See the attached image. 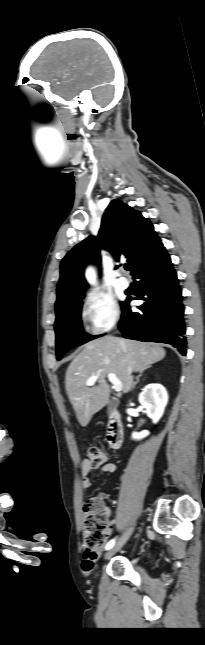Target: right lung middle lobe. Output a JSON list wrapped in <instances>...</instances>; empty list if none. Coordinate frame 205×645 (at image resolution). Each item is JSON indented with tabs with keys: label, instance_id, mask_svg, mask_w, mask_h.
<instances>
[{
	"label": "right lung middle lobe",
	"instance_id": "1",
	"mask_svg": "<svg viewBox=\"0 0 205 645\" xmlns=\"http://www.w3.org/2000/svg\"><path fill=\"white\" fill-rule=\"evenodd\" d=\"M82 298L83 295L78 297L71 306L56 314L55 332L57 360H60L63 354L71 348L82 345L96 338L95 336L84 333L81 327ZM124 304L125 302H122V307Z\"/></svg>",
	"mask_w": 205,
	"mask_h": 645
}]
</instances>
